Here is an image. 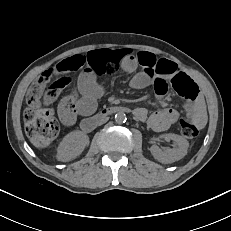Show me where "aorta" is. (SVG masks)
<instances>
[{
    "label": "aorta",
    "mask_w": 231,
    "mask_h": 231,
    "mask_svg": "<svg viewBox=\"0 0 231 231\" xmlns=\"http://www.w3.org/2000/svg\"><path fill=\"white\" fill-rule=\"evenodd\" d=\"M115 121L116 123H124L126 121V114L124 112H117L115 114Z\"/></svg>",
    "instance_id": "aorta-1"
}]
</instances>
